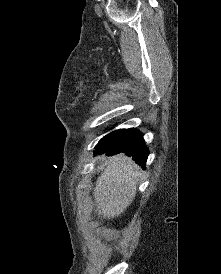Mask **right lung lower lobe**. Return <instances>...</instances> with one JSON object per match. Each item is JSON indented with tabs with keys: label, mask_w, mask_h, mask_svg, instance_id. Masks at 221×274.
Listing matches in <instances>:
<instances>
[{
	"label": "right lung lower lobe",
	"mask_w": 221,
	"mask_h": 274,
	"mask_svg": "<svg viewBox=\"0 0 221 274\" xmlns=\"http://www.w3.org/2000/svg\"><path fill=\"white\" fill-rule=\"evenodd\" d=\"M95 150V154L106 153L108 156L124 153L143 167L149 154L142 134L134 129H120L111 132L99 141Z\"/></svg>",
	"instance_id": "obj_1"
}]
</instances>
